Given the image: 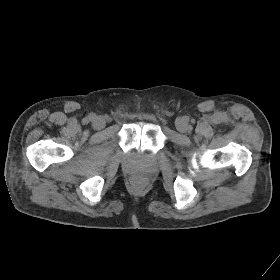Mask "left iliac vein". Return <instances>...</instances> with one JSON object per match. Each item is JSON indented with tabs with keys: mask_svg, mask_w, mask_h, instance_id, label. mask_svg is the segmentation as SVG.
<instances>
[{
	"mask_svg": "<svg viewBox=\"0 0 280 280\" xmlns=\"http://www.w3.org/2000/svg\"><path fill=\"white\" fill-rule=\"evenodd\" d=\"M175 126L176 129L181 133H184L188 130V123L184 118H177L175 121Z\"/></svg>",
	"mask_w": 280,
	"mask_h": 280,
	"instance_id": "4c4485c4",
	"label": "left iliac vein"
}]
</instances>
